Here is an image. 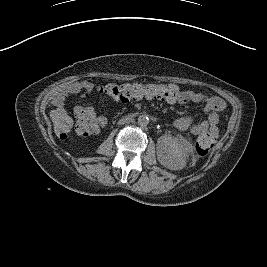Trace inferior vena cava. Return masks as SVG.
Wrapping results in <instances>:
<instances>
[{"label": "inferior vena cava", "mask_w": 267, "mask_h": 267, "mask_svg": "<svg viewBox=\"0 0 267 267\" xmlns=\"http://www.w3.org/2000/svg\"><path fill=\"white\" fill-rule=\"evenodd\" d=\"M130 122H133L132 118H122L118 121V124L119 125H123L125 123H130Z\"/></svg>", "instance_id": "602c4592"}]
</instances>
